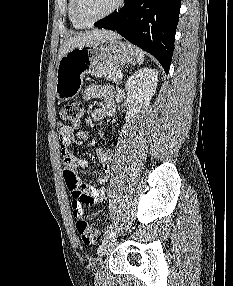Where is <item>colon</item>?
I'll use <instances>...</instances> for the list:
<instances>
[{
    "instance_id": "5ec220e1",
    "label": "colon",
    "mask_w": 233,
    "mask_h": 286,
    "mask_svg": "<svg viewBox=\"0 0 233 286\" xmlns=\"http://www.w3.org/2000/svg\"><path fill=\"white\" fill-rule=\"evenodd\" d=\"M61 117L74 127L80 125L84 114V107L80 102H72L64 105L61 109ZM76 229L85 244L96 243L100 238V233L97 229L90 226L84 218H78L76 221Z\"/></svg>"
}]
</instances>
